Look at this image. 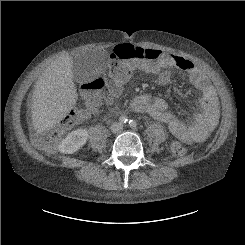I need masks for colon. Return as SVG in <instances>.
Segmentation results:
<instances>
[{"instance_id":"colon-1","label":"colon","mask_w":245,"mask_h":245,"mask_svg":"<svg viewBox=\"0 0 245 245\" xmlns=\"http://www.w3.org/2000/svg\"><path fill=\"white\" fill-rule=\"evenodd\" d=\"M145 51L133 45L121 46L111 59L107 72L99 77L85 82L81 87L82 101L89 113L96 111L101 105V95L104 92L116 90L132 73L138 63L146 61ZM153 65L150 64V68ZM80 105L63 118L55 127L39 134L37 143L42 147H51L59 137L71 129L79 118ZM169 151L174 156H183L186 152L185 145L179 140L169 143Z\"/></svg>"}]
</instances>
